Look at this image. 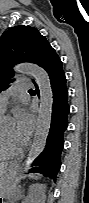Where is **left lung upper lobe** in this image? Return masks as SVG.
<instances>
[{
  "instance_id": "obj_1",
  "label": "left lung upper lobe",
  "mask_w": 89,
  "mask_h": 203,
  "mask_svg": "<svg viewBox=\"0 0 89 203\" xmlns=\"http://www.w3.org/2000/svg\"><path fill=\"white\" fill-rule=\"evenodd\" d=\"M50 45L40 32L30 26H16L0 37V91L6 89L14 76L13 66L32 62L40 66L45 48Z\"/></svg>"
}]
</instances>
